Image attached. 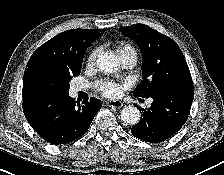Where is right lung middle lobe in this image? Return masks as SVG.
I'll use <instances>...</instances> for the list:
<instances>
[{"label":"right lung middle lobe","instance_id":"1","mask_svg":"<svg viewBox=\"0 0 224 175\" xmlns=\"http://www.w3.org/2000/svg\"><path fill=\"white\" fill-rule=\"evenodd\" d=\"M82 63L74 67L47 69L36 80V91L69 92L70 80L81 72Z\"/></svg>","mask_w":224,"mask_h":175}]
</instances>
